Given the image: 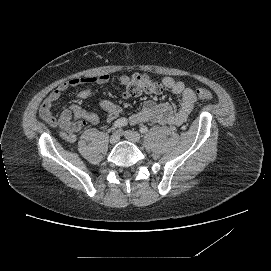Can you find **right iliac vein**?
I'll return each mask as SVG.
<instances>
[{"instance_id": "1", "label": "right iliac vein", "mask_w": 271, "mask_h": 271, "mask_svg": "<svg viewBox=\"0 0 271 271\" xmlns=\"http://www.w3.org/2000/svg\"><path fill=\"white\" fill-rule=\"evenodd\" d=\"M119 139H120L119 133L115 132L110 137V143L114 145V144H116L119 141Z\"/></svg>"}]
</instances>
